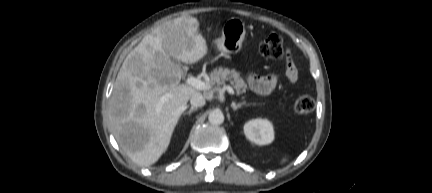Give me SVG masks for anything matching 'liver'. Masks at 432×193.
<instances>
[{"mask_svg":"<svg viewBox=\"0 0 432 193\" xmlns=\"http://www.w3.org/2000/svg\"><path fill=\"white\" fill-rule=\"evenodd\" d=\"M198 28L199 21L190 16L165 22L142 39L118 72L109 118L119 146L139 166L156 163L167 150L188 100L197 92L180 84L182 70L171 58L194 64L207 54Z\"/></svg>","mask_w":432,"mask_h":193,"instance_id":"6515ba94","label":"liver"}]
</instances>
